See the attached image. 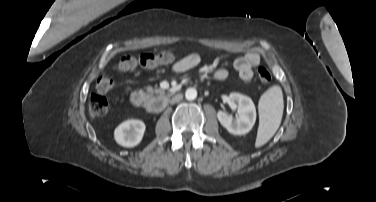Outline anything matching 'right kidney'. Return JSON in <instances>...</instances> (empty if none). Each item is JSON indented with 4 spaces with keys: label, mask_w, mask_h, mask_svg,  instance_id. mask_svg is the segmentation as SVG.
Here are the masks:
<instances>
[{
    "label": "right kidney",
    "mask_w": 376,
    "mask_h": 202,
    "mask_svg": "<svg viewBox=\"0 0 376 202\" xmlns=\"http://www.w3.org/2000/svg\"><path fill=\"white\" fill-rule=\"evenodd\" d=\"M145 124L141 120H127L122 122L114 131L116 142L124 147L138 145L143 137Z\"/></svg>",
    "instance_id": "right-kidney-1"
}]
</instances>
